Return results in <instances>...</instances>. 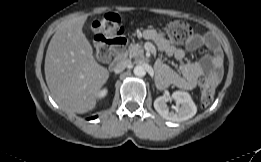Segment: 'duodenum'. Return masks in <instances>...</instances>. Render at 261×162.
<instances>
[{"instance_id":"1","label":"duodenum","mask_w":261,"mask_h":162,"mask_svg":"<svg viewBox=\"0 0 261 162\" xmlns=\"http://www.w3.org/2000/svg\"><path fill=\"white\" fill-rule=\"evenodd\" d=\"M125 43L112 45L111 46V53H113L115 55H120L122 53V51H123Z\"/></svg>"}]
</instances>
